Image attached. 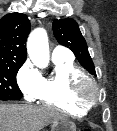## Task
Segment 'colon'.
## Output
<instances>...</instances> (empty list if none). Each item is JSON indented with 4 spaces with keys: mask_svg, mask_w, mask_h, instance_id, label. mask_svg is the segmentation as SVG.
<instances>
[{
    "mask_svg": "<svg viewBox=\"0 0 117 131\" xmlns=\"http://www.w3.org/2000/svg\"><path fill=\"white\" fill-rule=\"evenodd\" d=\"M84 131H92L91 129H86V130H84Z\"/></svg>",
    "mask_w": 117,
    "mask_h": 131,
    "instance_id": "obj_1",
    "label": "colon"
}]
</instances>
